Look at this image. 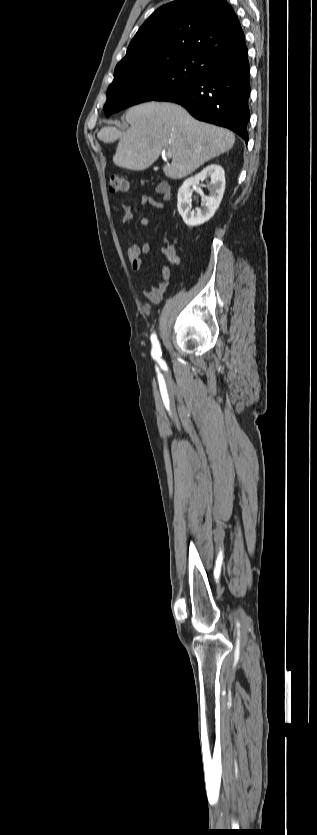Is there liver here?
Returning <instances> with one entry per match:
<instances>
[{
	"label": "liver",
	"instance_id": "obj_1",
	"mask_svg": "<svg viewBox=\"0 0 317 835\" xmlns=\"http://www.w3.org/2000/svg\"><path fill=\"white\" fill-rule=\"evenodd\" d=\"M125 132L106 126L97 134L104 143L119 140L113 163L130 170H145L168 150L172 162L163 166L171 179L190 175L204 162L232 148L234 134L194 119L183 107L168 102H147L126 113Z\"/></svg>",
	"mask_w": 317,
	"mask_h": 835
}]
</instances>
